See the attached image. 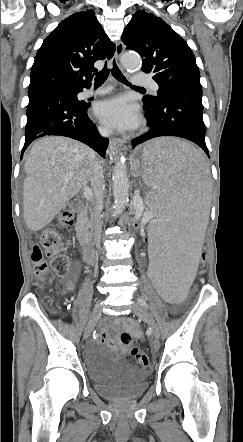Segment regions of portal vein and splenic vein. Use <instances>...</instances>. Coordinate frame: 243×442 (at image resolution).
Returning <instances> with one entry per match:
<instances>
[{
    "instance_id": "obj_1",
    "label": "portal vein and splenic vein",
    "mask_w": 243,
    "mask_h": 442,
    "mask_svg": "<svg viewBox=\"0 0 243 442\" xmlns=\"http://www.w3.org/2000/svg\"><path fill=\"white\" fill-rule=\"evenodd\" d=\"M72 176H73V174L72 173H69L67 176H66V179L68 180V179H70V178H72ZM85 195H86V197H88V193H89V188L88 187H85Z\"/></svg>"
}]
</instances>
